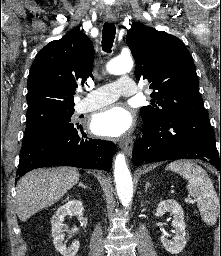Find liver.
<instances>
[{
	"mask_svg": "<svg viewBox=\"0 0 221 256\" xmlns=\"http://www.w3.org/2000/svg\"><path fill=\"white\" fill-rule=\"evenodd\" d=\"M79 171L73 167L36 169L17 183L16 213L26 221L38 211L53 205L78 181Z\"/></svg>",
	"mask_w": 221,
	"mask_h": 256,
	"instance_id": "obj_1",
	"label": "liver"
}]
</instances>
